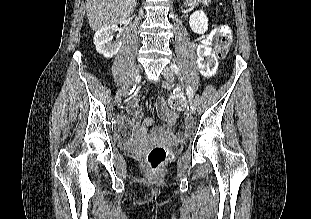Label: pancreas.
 <instances>
[{"mask_svg": "<svg viewBox=\"0 0 311 219\" xmlns=\"http://www.w3.org/2000/svg\"><path fill=\"white\" fill-rule=\"evenodd\" d=\"M189 2L191 3V2H193V0H189Z\"/></svg>", "mask_w": 311, "mask_h": 219, "instance_id": "pancreas-1", "label": "pancreas"}]
</instances>
